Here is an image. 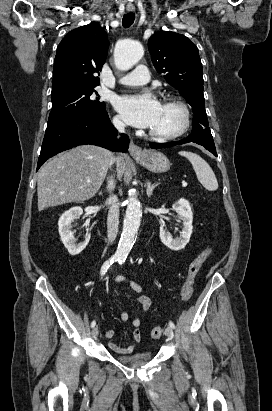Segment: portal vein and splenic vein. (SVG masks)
Listing matches in <instances>:
<instances>
[{
	"label": "portal vein and splenic vein",
	"instance_id": "obj_1",
	"mask_svg": "<svg viewBox=\"0 0 272 411\" xmlns=\"http://www.w3.org/2000/svg\"><path fill=\"white\" fill-rule=\"evenodd\" d=\"M182 186H183V187H186V186H187V182H183V183H182Z\"/></svg>",
	"mask_w": 272,
	"mask_h": 411
}]
</instances>
